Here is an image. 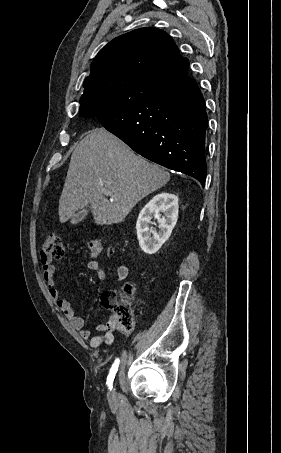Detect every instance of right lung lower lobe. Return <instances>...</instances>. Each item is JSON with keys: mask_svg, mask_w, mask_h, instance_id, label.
Wrapping results in <instances>:
<instances>
[{"mask_svg": "<svg viewBox=\"0 0 281 453\" xmlns=\"http://www.w3.org/2000/svg\"><path fill=\"white\" fill-rule=\"evenodd\" d=\"M82 116L97 117L143 157L199 180L206 179V105L189 75L161 83L129 101L89 108Z\"/></svg>", "mask_w": 281, "mask_h": 453, "instance_id": "1", "label": "right lung lower lobe"}]
</instances>
